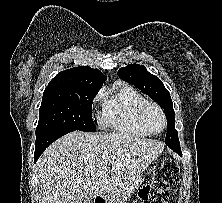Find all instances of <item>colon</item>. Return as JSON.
I'll list each match as a JSON object with an SVG mask.
<instances>
[{
  "mask_svg": "<svg viewBox=\"0 0 222 203\" xmlns=\"http://www.w3.org/2000/svg\"><path fill=\"white\" fill-rule=\"evenodd\" d=\"M180 167L172 159L165 160L155 172L152 182L141 190L140 198L150 203H165L169 187L174 182Z\"/></svg>",
  "mask_w": 222,
  "mask_h": 203,
  "instance_id": "obj_1",
  "label": "colon"
}]
</instances>
